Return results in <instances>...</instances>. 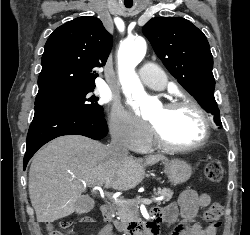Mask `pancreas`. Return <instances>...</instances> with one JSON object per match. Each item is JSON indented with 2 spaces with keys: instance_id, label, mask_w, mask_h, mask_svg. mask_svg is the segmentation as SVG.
Here are the masks:
<instances>
[{
  "instance_id": "pancreas-1",
  "label": "pancreas",
  "mask_w": 250,
  "mask_h": 235,
  "mask_svg": "<svg viewBox=\"0 0 250 235\" xmlns=\"http://www.w3.org/2000/svg\"><path fill=\"white\" fill-rule=\"evenodd\" d=\"M154 194L164 197L163 200L159 201L158 204H160L161 202L166 203L170 201L173 196V191L167 188H158L157 192L154 191ZM138 203L139 200L137 199L131 200L130 202H122L121 200L117 203V215L121 218V222L130 223L140 220Z\"/></svg>"
}]
</instances>
